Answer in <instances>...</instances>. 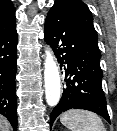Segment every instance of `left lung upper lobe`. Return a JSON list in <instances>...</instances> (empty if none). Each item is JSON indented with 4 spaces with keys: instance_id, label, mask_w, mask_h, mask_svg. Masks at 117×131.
<instances>
[{
    "instance_id": "left-lung-upper-lobe-1",
    "label": "left lung upper lobe",
    "mask_w": 117,
    "mask_h": 131,
    "mask_svg": "<svg viewBox=\"0 0 117 131\" xmlns=\"http://www.w3.org/2000/svg\"><path fill=\"white\" fill-rule=\"evenodd\" d=\"M54 5H64L71 11L84 35L86 43L100 54L97 33L93 26V17L88 6L80 0H56Z\"/></svg>"
}]
</instances>
